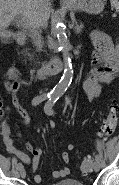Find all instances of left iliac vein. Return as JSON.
Here are the masks:
<instances>
[{
	"mask_svg": "<svg viewBox=\"0 0 119 185\" xmlns=\"http://www.w3.org/2000/svg\"><path fill=\"white\" fill-rule=\"evenodd\" d=\"M100 166H101L100 160H99V159H96L95 162H94V165H93L94 170H95L96 172H98V171L100 170Z\"/></svg>",
	"mask_w": 119,
	"mask_h": 185,
	"instance_id": "4c4485c4",
	"label": "left iliac vein"
}]
</instances>
